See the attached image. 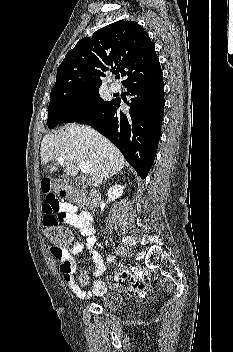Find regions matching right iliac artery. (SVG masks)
<instances>
[{"mask_svg":"<svg viewBox=\"0 0 233 352\" xmlns=\"http://www.w3.org/2000/svg\"><path fill=\"white\" fill-rule=\"evenodd\" d=\"M107 260H108L109 262H114V261L116 260V257L113 256V255H109V256L107 257Z\"/></svg>","mask_w":233,"mask_h":352,"instance_id":"right-iliac-artery-1","label":"right iliac artery"}]
</instances>
